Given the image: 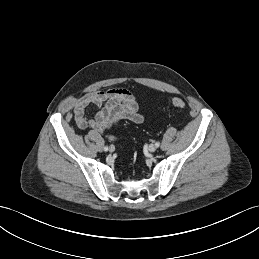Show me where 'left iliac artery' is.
I'll return each instance as SVG.
<instances>
[{
  "mask_svg": "<svg viewBox=\"0 0 259 259\" xmlns=\"http://www.w3.org/2000/svg\"><path fill=\"white\" fill-rule=\"evenodd\" d=\"M155 145H156L157 147H159V146H160V142H156Z\"/></svg>",
  "mask_w": 259,
  "mask_h": 259,
  "instance_id": "1",
  "label": "left iliac artery"
}]
</instances>
